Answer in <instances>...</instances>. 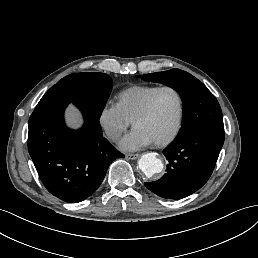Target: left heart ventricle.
I'll list each match as a JSON object with an SVG mask.
<instances>
[{
    "label": "left heart ventricle",
    "instance_id": "left-heart-ventricle-1",
    "mask_svg": "<svg viewBox=\"0 0 258 258\" xmlns=\"http://www.w3.org/2000/svg\"><path fill=\"white\" fill-rule=\"evenodd\" d=\"M177 112L176 94L170 90L162 91L156 96L150 116L142 124V128L155 137H168L174 129Z\"/></svg>",
    "mask_w": 258,
    "mask_h": 258
}]
</instances>
